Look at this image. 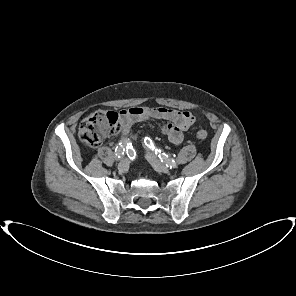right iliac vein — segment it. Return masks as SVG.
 <instances>
[{"label": "right iliac vein", "instance_id": "right-iliac-vein-1", "mask_svg": "<svg viewBox=\"0 0 296 296\" xmlns=\"http://www.w3.org/2000/svg\"><path fill=\"white\" fill-rule=\"evenodd\" d=\"M129 167V161L127 159H122L118 164V170L125 172Z\"/></svg>", "mask_w": 296, "mask_h": 296}]
</instances>
